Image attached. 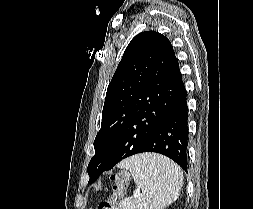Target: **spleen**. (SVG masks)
Segmentation results:
<instances>
[{
  "label": "spleen",
  "mask_w": 253,
  "mask_h": 209,
  "mask_svg": "<svg viewBox=\"0 0 253 209\" xmlns=\"http://www.w3.org/2000/svg\"><path fill=\"white\" fill-rule=\"evenodd\" d=\"M120 168L131 172L141 189L119 203L120 209H164L176 201L183 185V173L169 158L159 154H138L123 160Z\"/></svg>",
  "instance_id": "obj_1"
}]
</instances>
